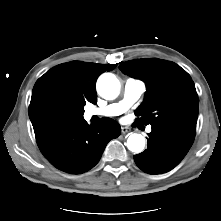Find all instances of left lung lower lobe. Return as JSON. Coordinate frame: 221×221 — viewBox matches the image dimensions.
<instances>
[{"label": "left lung lower lobe", "mask_w": 221, "mask_h": 221, "mask_svg": "<svg viewBox=\"0 0 221 221\" xmlns=\"http://www.w3.org/2000/svg\"><path fill=\"white\" fill-rule=\"evenodd\" d=\"M147 149L134 156L136 165L149 174L172 170L185 157L195 138L184 130L167 125H152Z\"/></svg>", "instance_id": "obj_1"}]
</instances>
